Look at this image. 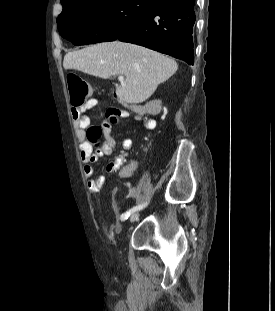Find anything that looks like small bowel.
Listing matches in <instances>:
<instances>
[{
  "mask_svg": "<svg viewBox=\"0 0 275 311\" xmlns=\"http://www.w3.org/2000/svg\"><path fill=\"white\" fill-rule=\"evenodd\" d=\"M94 104H83L79 107L72 108V115L75 122V133L79 140L80 159L83 163V173L86 180L87 188L91 192H99L104 184V176H95L92 163L96 162L100 157L104 155H110L115 147V141L110 136L111 126L113 124L106 122L104 124L105 141L96 149H92L89 144L85 142V127L88 124V118L83 114L86 109H89ZM119 119H123L129 116V112L123 109H114ZM135 122L140 123L143 129L153 130L156 127V121L154 118L143 116L136 113L133 116ZM123 150L117 154L112 161L106 165V171L108 173L116 172L124 163L126 152L132 147V140L125 138L122 141ZM135 165L132 164L126 167L123 172V177H131L135 170Z\"/></svg>",
  "mask_w": 275,
  "mask_h": 311,
  "instance_id": "c3829d8e",
  "label": "small bowel"
}]
</instances>
